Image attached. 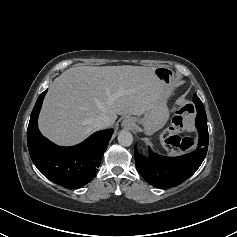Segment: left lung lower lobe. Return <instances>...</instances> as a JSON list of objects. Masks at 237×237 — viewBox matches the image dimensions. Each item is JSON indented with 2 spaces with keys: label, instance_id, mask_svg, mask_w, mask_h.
<instances>
[{
  "label": "left lung lower lobe",
  "instance_id": "0a47b994",
  "mask_svg": "<svg viewBox=\"0 0 237 237\" xmlns=\"http://www.w3.org/2000/svg\"><path fill=\"white\" fill-rule=\"evenodd\" d=\"M196 128L199 132L198 148L180 157H163L150 152L149 158L138 154L135 147V164L143 178L159 188L174 187L192 176L203 162L209 142L206 115L197 114Z\"/></svg>",
  "mask_w": 237,
  "mask_h": 237
}]
</instances>
